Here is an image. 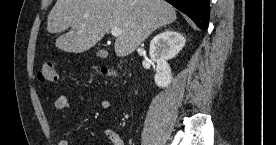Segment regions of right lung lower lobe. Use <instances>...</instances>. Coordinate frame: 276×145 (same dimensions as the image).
Wrapping results in <instances>:
<instances>
[{
    "instance_id": "1",
    "label": "right lung lower lobe",
    "mask_w": 276,
    "mask_h": 145,
    "mask_svg": "<svg viewBox=\"0 0 276 145\" xmlns=\"http://www.w3.org/2000/svg\"><path fill=\"white\" fill-rule=\"evenodd\" d=\"M184 14L188 15L202 30H206L209 21V0H166Z\"/></svg>"
}]
</instances>
